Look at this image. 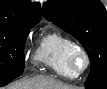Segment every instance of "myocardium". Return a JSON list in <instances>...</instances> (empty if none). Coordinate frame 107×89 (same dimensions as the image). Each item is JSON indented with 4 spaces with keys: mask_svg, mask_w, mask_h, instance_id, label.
I'll return each mask as SVG.
<instances>
[{
    "mask_svg": "<svg viewBox=\"0 0 107 89\" xmlns=\"http://www.w3.org/2000/svg\"><path fill=\"white\" fill-rule=\"evenodd\" d=\"M77 57H80L83 60V65L80 68L76 67L75 64ZM67 63L74 75L78 76L88 69L90 65V58L83 47L74 45L68 52Z\"/></svg>",
    "mask_w": 107,
    "mask_h": 89,
    "instance_id": "1",
    "label": "myocardium"
}]
</instances>
